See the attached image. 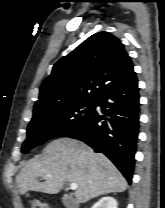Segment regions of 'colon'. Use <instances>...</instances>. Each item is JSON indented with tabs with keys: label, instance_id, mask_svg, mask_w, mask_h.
Returning <instances> with one entry per match:
<instances>
[{
	"label": "colon",
	"instance_id": "1",
	"mask_svg": "<svg viewBox=\"0 0 165 208\" xmlns=\"http://www.w3.org/2000/svg\"><path fill=\"white\" fill-rule=\"evenodd\" d=\"M30 208H48V206L44 204L43 202L37 199H34L30 203Z\"/></svg>",
	"mask_w": 165,
	"mask_h": 208
}]
</instances>
